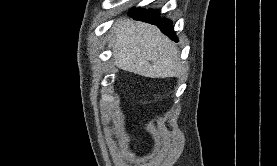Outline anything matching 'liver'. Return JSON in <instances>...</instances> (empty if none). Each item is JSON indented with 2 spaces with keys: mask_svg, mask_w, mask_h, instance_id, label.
<instances>
[{
  "mask_svg": "<svg viewBox=\"0 0 277 166\" xmlns=\"http://www.w3.org/2000/svg\"><path fill=\"white\" fill-rule=\"evenodd\" d=\"M112 30L110 45L118 68L149 78L173 77L182 72L176 45L157 27L125 18Z\"/></svg>",
  "mask_w": 277,
  "mask_h": 166,
  "instance_id": "obj_1",
  "label": "liver"
}]
</instances>
